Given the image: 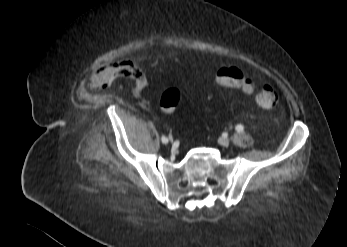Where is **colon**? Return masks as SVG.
Listing matches in <instances>:
<instances>
[{"mask_svg":"<svg viewBox=\"0 0 347 247\" xmlns=\"http://www.w3.org/2000/svg\"><path fill=\"white\" fill-rule=\"evenodd\" d=\"M216 80L223 87L237 88L246 94H253L257 106L261 109H272L278 102L276 88L272 83L263 82L256 89L252 80L235 67L220 69L216 74ZM181 99V90L171 87L162 94L160 105L165 112H173Z\"/></svg>","mask_w":347,"mask_h":247,"instance_id":"5ec220e1","label":"colon"}]
</instances>
